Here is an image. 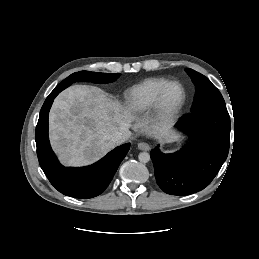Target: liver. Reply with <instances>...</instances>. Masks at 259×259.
Listing matches in <instances>:
<instances>
[{"label":"liver","instance_id":"6515ba94","mask_svg":"<svg viewBox=\"0 0 259 259\" xmlns=\"http://www.w3.org/2000/svg\"><path fill=\"white\" fill-rule=\"evenodd\" d=\"M146 132L170 142L169 125L142 122L131 110L108 97L100 88L74 85L54 100L49 115L50 142L62 164L85 166L102 158L115 144L108 137L116 132Z\"/></svg>","mask_w":259,"mask_h":259}]
</instances>
